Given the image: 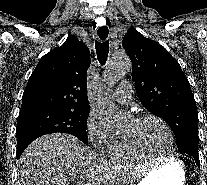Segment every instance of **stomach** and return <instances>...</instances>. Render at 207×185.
<instances>
[{"instance_id": "stomach-1", "label": "stomach", "mask_w": 207, "mask_h": 185, "mask_svg": "<svg viewBox=\"0 0 207 185\" xmlns=\"http://www.w3.org/2000/svg\"><path fill=\"white\" fill-rule=\"evenodd\" d=\"M185 182L184 165L171 158L163 165L152 170L138 185H183Z\"/></svg>"}]
</instances>
